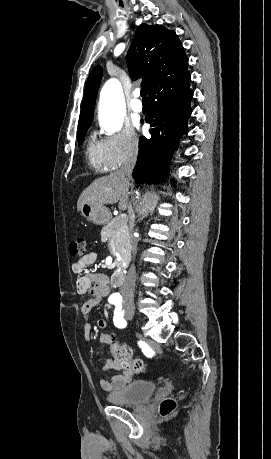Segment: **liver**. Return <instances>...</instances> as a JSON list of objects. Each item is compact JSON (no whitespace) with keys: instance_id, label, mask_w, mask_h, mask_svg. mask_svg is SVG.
Masks as SVG:
<instances>
[{"instance_id":"obj_1","label":"liver","mask_w":271,"mask_h":459,"mask_svg":"<svg viewBox=\"0 0 271 459\" xmlns=\"http://www.w3.org/2000/svg\"><path fill=\"white\" fill-rule=\"evenodd\" d=\"M129 180L120 172H111L109 176L97 178L84 192H82L78 202V212L82 204H117L119 210H131L128 206Z\"/></svg>"}]
</instances>
